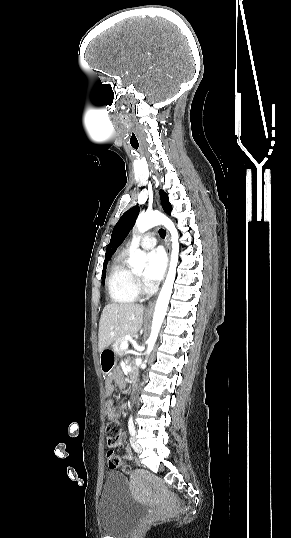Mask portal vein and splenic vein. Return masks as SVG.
Segmentation results:
<instances>
[{
    "label": "portal vein and splenic vein",
    "instance_id": "portal-vein-and-splenic-vein-1",
    "mask_svg": "<svg viewBox=\"0 0 291 538\" xmlns=\"http://www.w3.org/2000/svg\"><path fill=\"white\" fill-rule=\"evenodd\" d=\"M128 347H129V344H128L127 341L123 342L122 345H121V349H123V350L128 349Z\"/></svg>",
    "mask_w": 291,
    "mask_h": 538
}]
</instances>
